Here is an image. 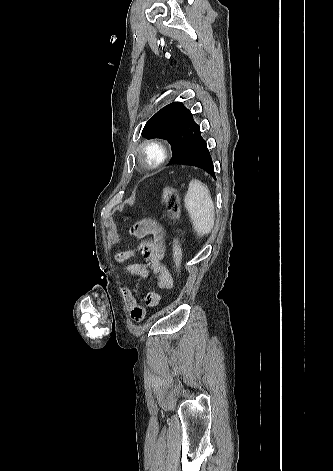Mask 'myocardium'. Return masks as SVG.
Returning a JSON list of instances; mask_svg holds the SVG:
<instances>
[{
  "instance_id": "obj_1",
  "label": "myocardium",
  "mask_w": 333,
  "mask_h": 471,
  "mask_svg": "<svg viewBox=\"0 0 333 471\" xmlns=\"http://www.w3.org/2000/svg\"><path fill=\"white\" fill-rule=\"evenodd\" d=\"M166 157L164 146L157 141H149L142 147V161L148 168H156Z\"/></svg>"
}]
</instances>
